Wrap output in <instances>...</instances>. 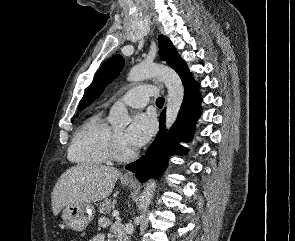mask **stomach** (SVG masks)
<instances>
[{"label": "stomach", "mask_w": 295, "mask_h": 241, "mask_svg": "<svg viewBox=\"0 0 295 241\" xmlns=\"http://www.w3.org/2000/svg\"><path fill=\"white\" fill-rule=\"evenodd\" d=\"M124 186L131 184V181L122 180ZM95 214L94 206L84 203L67 205L62 212L64 223L74 231H83Z\"/></svg>", "instance_id": "1"}]
</instances>
